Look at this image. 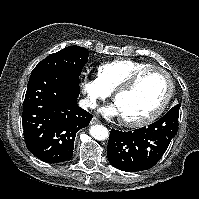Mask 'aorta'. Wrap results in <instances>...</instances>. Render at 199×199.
Returning <instances> with one entry per match:
<instances>
[{
  "label": "aorta",
  "mask_w": 199,
  "mask_h": 199,
  "mask_svg": "<svg viewBox=\"0 0 199 199\" xmlns=\"http://www.w3.org/2000/svg\"><path fill=\"white\" fill-rule=\"evenodd\" d=\"M90 135L96 140H105L109 136L108 129L103 125H94L90 128Z\"/></svg>",
  "instance_id": "762f6f07"
}]
</instances>
